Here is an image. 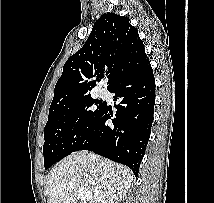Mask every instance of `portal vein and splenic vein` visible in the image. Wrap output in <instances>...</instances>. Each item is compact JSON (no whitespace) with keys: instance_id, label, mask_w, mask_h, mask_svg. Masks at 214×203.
I'll list each match as a JSON object with an SVG mask.
<instances>
[{"instance_id":"1","label":"portal vein and splenic vein","mask_w":214,"mask_h":203,"mask_svg":"<svg viewBox=\"0 0 214 203\" xmlns=\"http://www.w3.org/2000/svg\"><path fill=\"white\" fill-rule=\"evenodd\" d=\"M78 193H79L80 200L84 203L88 200L90 196V192L85 188H80L78 190Z\"/></svg>"}]
</instances>
